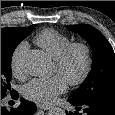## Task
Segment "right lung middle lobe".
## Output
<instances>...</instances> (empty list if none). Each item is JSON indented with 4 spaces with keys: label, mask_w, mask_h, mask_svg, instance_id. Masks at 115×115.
<instances>
[{
    "label": "right lung middle lobe",
    "mask_w": 115,
    "mask_h": 115,
    "mask_svg": "<svg viewBox=\"0 0 115 115\" xmlns=\"http://www.w3.org/2000/svg\"><path fill=\"white\" fill-rule=\"evenodd\" d=\"M35 25L21 29L20 31L1 38V96H5L11 89V59L16 46L26 38Z\"/></svg>",
    "instance_id": "dd1d6c3e"
}]
</instances>
